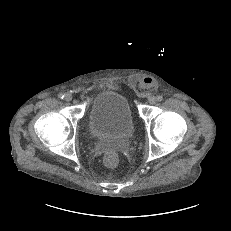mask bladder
I'll return each mask as SVG.
<instances>
[{
    "mask_svg": "<svg viewBox=\"0 0 231 231\" xmlns=\"http://www.w3.org/2000/svg\"><path fill=\"white\" fill-rule=\"evenodd\" d=\"M93 138L120 141L136 133V123L127 97L116 90H104L93 99L85 118Z\"/></svg>",
    "mask_w": 231,
    "mask_h": 231,
    "instance_id": "1",
    "label": "bladder"
}]
</instances>
